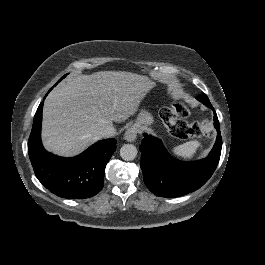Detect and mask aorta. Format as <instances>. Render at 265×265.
<instances>
[{
  "instance_id": "762f6f07",
  "label": "aorta",
  "mask_w": 265,
  "mask_h": 265,
  "mask_svg": "<svg viewBox=\"0 0 265 265\" xmlns=\"http://www.w3.org/2000/svg\"><path fill=\"white\" fill-rule=\"evenodd\" d=\"M120 156L125 161L134 160L137 156V148L132 144H124L120 149Z\"/></svg>"
}]
</instances>
